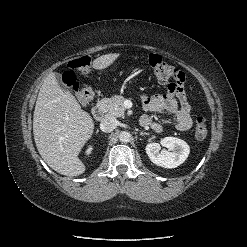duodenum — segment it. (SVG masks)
I'll use <instances>...</instances> for the list:
<instances>
[{
  "mask_svg": "<svg viewBox=\"0 0 247 247\" xmlns=\"http://www.w3.org/2000/svg\"><path fill=\"white\" fill-rule=\"evenodd\" d=\"M104 113H105V111H104L103 104L101 102H98L97 104H95V106L93 107V110H92V115H93L94 119L98 120V121L101 120L104 117ZM139 122L142 126H145V124H146L142 119H140Z\"/></svg>",
  "mask_w": 247,
  "mask_h": 247,
  "instance_id": "1",
  "label": "duodenum"
}]
</instances>
